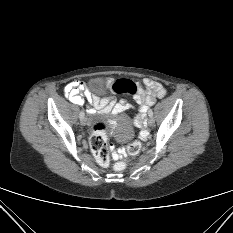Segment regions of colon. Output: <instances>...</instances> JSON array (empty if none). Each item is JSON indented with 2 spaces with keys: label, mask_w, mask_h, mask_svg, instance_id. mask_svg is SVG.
Segmentation results:
<instances>
[{
  "label": "colon",
  "mask_w": 233,
  "mask_h": 233,
  "mask_svg": "<svg viewBox=\"0 0 233 233\" xmlns=\"http://www.w3.org/2000/svg\"><path fill=\"white\" fill-rule=\"evenodd\" d=\"M113 92L117 94L134 95L137 91V85L129 79H118L112 84ZM92 132L89 137V145L97 163L101 166L109 164V151L105 136L106 123L103 120H97L92 124ZM142 145L139 141H134L128 145L127 151L130 155H137L141 151ZM127 162L121 161L115 165L116 170H122Z\"/></svg>",
  "instance_id": "colon-1"
}]
</instances>
